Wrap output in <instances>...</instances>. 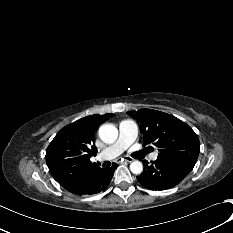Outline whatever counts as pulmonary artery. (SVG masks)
I'll use <instances>...</instances> for the list:
<instances>
[{
    "label": "pulmonary artery",
    "mask_w": 233,
    "mask_h": 233,
    "mask_svg": "<svg viewBox=\"0 0 233 233\" xmlns=\"http://www.w3.org/2000/svg\"><path fill=\"white\" fill-rule=\"evenodd\" d=\"M138 126L131 119H124L119 123V137L115 143L97 155L98 160H112L122 154L137 138ZM152 160L157 159V153L151 155Z\"/></svg>",
    "instance_id": "e3ab8cb5"
}]
</instances>
